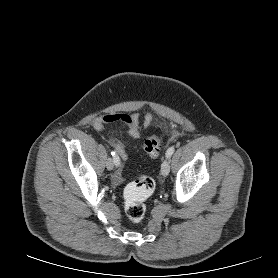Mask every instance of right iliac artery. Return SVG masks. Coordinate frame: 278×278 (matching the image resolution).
I'll use <instances>...</instances> for the list:
<instances>
[{"label": "right iliac artery", "mask_w": 278, "mask_h": 278, "mask_svg": "<svg viewBox=\"0 0 278 278\" xmlns=\"http://www.w3.org/2000/svg\"><path fill=\"white\" fill-rule=\"evenodd\" d=\"M112 156H113V162L116 166H119L120 164V159L118 157V155L115 153V151L111 152Z\"/></svg>", "instance_id": "1"}]
</instances>
